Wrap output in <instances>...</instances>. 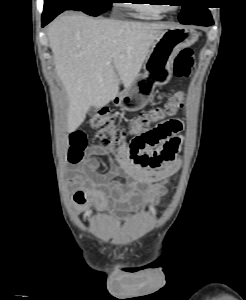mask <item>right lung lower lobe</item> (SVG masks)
<instances>
[{"instance_id":"98d812e1","label":"right lung lower lobe","mask_w":246,"mask_h":300,"mask_svg":"<svg viewBox=\"0 0 246 300\" xmlns=\"http://www.w3.org/2000/svg\"><path fill=\"white\" fill-rule=\"evenodd\" d=\"M63 11H65V10L57 11V12L51 14V15H48V16H42V27L47 25L50 21H52L58 14H60Z\"/></svg>"}]
</instances>
